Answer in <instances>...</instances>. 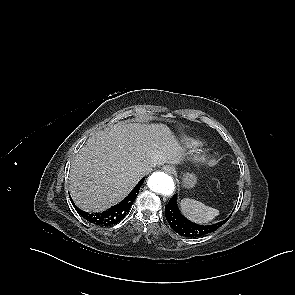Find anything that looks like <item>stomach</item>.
I'll list each match as a JSON object with an SVG mask.
<instances>
[{
	"label": "stomach",
	"mask_w": 295,
	"mask_h": 295,
	"mask_svg": "<svg viewBox=\"0 0 295 295\" xmlns=\"http://www.w3.org/2000/svg\"><path fill=\"white\" fill-rule=\"evenodd\" d=\"M182 183L185 188H193L197 183V177L193 173H186L182 177Z\"/></svg>",
	"instance_id": "0dacf381"
}]
</instances>
